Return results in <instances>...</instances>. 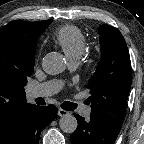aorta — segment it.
<instances>
[{
	"mask_svg": "<svg viewBox=\"0 0 144 144\" xmlns=\"http://www.w3.org/2000/svg\"><path fill=\"white\" fill-rule=\"evenodd\" d=\"M42 68L47 74L56 75L64 68V58L58 52H50L42 60ZM61 130L65 133H73L78 126L76 118L71 114H65L59 121Z\"/></svg>",
	"mask_w": 144,
	"mask_h": 144,
	"instance_id": "obj_1",
	"label": "aorta"
}]
</instances>
